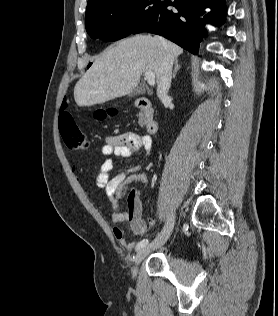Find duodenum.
Listing matches in <instances>:
<instances>
[{
	"label": "duodenum",
	"instance_id": "obj_1",
	"mask_svg": "<svg viewBox=\"0 0 278 316\" xmlns=\"http://www.w3.org/2000/svg\"><path fill=\"white\" fill-rule=\"evenodd\" d=\"M134 105L149 115L146 121V130L150 134H154L158 130V122L150 116L152 112V103L148 98L139 97L134 100Z\"/></svg>",
	"mask_w": 278,
	"mask_h": 316
}]
</instances>
